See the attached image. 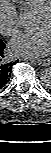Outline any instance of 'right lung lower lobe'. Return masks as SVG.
Masks as SVG:
<instances>
[{
    "instance_id": "right-lung-lower-lobe-1",
    "label": "right lung lower lobe",
    "mask_w": 51,
    "mask_h": 153,
    "mask_svg": "<svg viewBox=\"0 0 51 153\" xmlns=\"http://www.w3.org/2000/svg\"><path fill=\"white\" fill-rule=\"evenodd\" d=\"M5 48V44L0 41V89L7 84L9 78L11 77L12 67L15 63L6 62L4 58L3 50Z\"/></svg>"
}]
</instances>
